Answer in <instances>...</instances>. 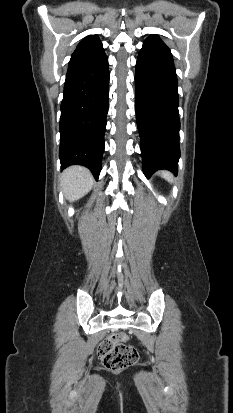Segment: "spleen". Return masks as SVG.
<instances>
[{
	"instance_id": "3e777b00",
	"label": "spleen",
	"mask_w": 233,
	"mask_h": 413,
	"mask_svg": "<svg viewBox=\"0 0 233 413\" xmlns=\"http://www.w3.org/2000/svg\"><path fill=\"white\" fill-rule=\"evenodd\" d=\"M160 175H161L163 178H165L168 182H172V181H173V177H172V175H171L170 172L161 171V172H160Z\"/></svg>"
}]
</instances>
